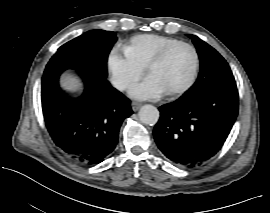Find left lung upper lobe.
<instances>
[{
	"mask_svg": "<svg viewBox=\"0 0 270 213\" xmlns=\"http://www.w3.org/2000/svg\"><path fill=\"white\" fill-rule=\"evenodd\" d=\"M187 36L196 46L200 58V73L197 81L183 97H196L226 82L235 81L229 65L214 48L195 35Z\"/></svg>",
	"mask_w": 270,
	"mask_h": 213,
	"instance_id": "5c2ea615",
	"label": "left lung upper lobe"
}]
</instances>
